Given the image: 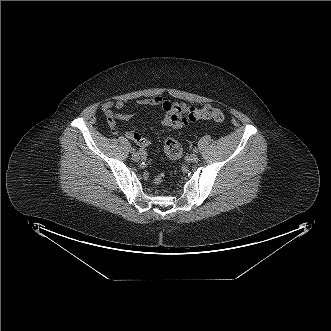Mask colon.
I'll list each match as a JSON object with an SVG mask.
<instances>
[{
  "mask_svg": "<svg viewBox=\"0 0 331 331\" xmlns=\"http://www.w3.org/2000/svg\"><path fill=\"white\" fill-rule=\"evenodd\" d=\"M224 118L223 112L218 107L205 106L203 108H194L184 116L187 123L194 122L200 119L213 120L216 122L222 121ZM164 151L167 157L171 160H177L182 155L180 144L174 139H167L164 142ZM156 183H162L160 176L156 177Z\"/></svg>",
  "mask_w": 331,
  "mask_h": 331,
  "instance_id": "colon-1",
  "label": "colon"
}]
</instances>
